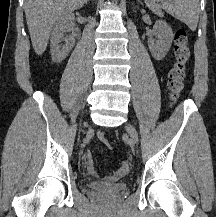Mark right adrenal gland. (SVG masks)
I'll list each match as a JSON object with an SVG mask.
<instances>
[{
    "label": "right adrenal gland",
    "instance_id": "1",
    "mask_svg": "<svg viewBox=\"0 0 216 217\" xmlns=\"http://www.w3.org/2000/svg\"><path fill=\"white\" fill-rule=\"evenodd\" d=\"M90 0H86L85 3L87 4Z\"/></svg>",
    "mask_w": 216,
    "mask_h": 217
}]
</instances>
